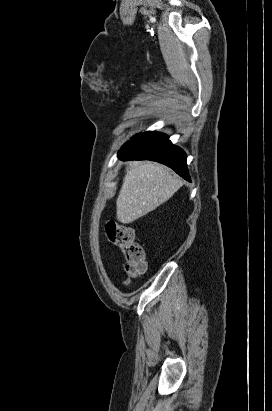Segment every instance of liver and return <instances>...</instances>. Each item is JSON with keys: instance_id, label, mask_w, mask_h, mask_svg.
Here are the masks:
<instances>
[{"instance_id": "6515ba94", "label": "liver", "mask_w": 272, "mask_h": 411, "mask_svg": "<svg viewBox=\"0 0 272 411\" xmlns=\"http://www.w3.org/2000/svg\"><path fill=\"white\" fill-rule=\"evenodd\" d=\"M182 186L168 168L152 162H132L116 200L117 220L129 224L169 200Z\"/></svg>"}]
</instances>
